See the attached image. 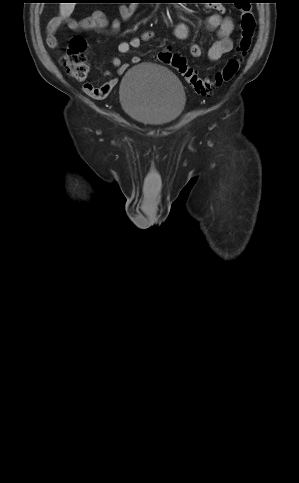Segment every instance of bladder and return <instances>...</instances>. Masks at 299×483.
Here are the masks:
<instances>
[{
  "label": "bladder",
  "mask_w": 299,
  "mask_h": 483,
  "mask_svg": "<svg viewBox=\"0 0 299 483\" xmlns=\"http://www.w3.org/2000/svg\"><path fill=\"white\" fill-rule=\"evenodd\" d=\"M119 99L130 117L150 126L173 123L186 105L185 92L176 75L148 62L137 64L124 74Z\"/></svg>",
  "instance_id": "31cf9c89"
}]
</instances>
